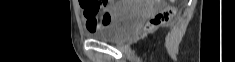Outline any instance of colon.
<instances>
[{"label": "colon", "instance_id": "colon-1", "mask_svg": "<svg viewBox=\"0 0 235 62\" xmlns=\"http://www.w3.org/2000/svg\"><path fill=\"white\" fill-rule=\"evenodd\" d=\"M175 13H176V9L173 6L165 8L164 10L157 13L155 16H153L149 20L146 28L155 29L159 26H162L168 23L171 20V18L175 15ZM88 14L90 15L100 14L99 18H104V20L107 21V13L104 12L102 4L99 3L98 1H90V3H88Z\"/></svg>", "mask_w": 235, "mask_h": 62}]
</instances>
